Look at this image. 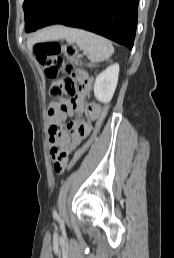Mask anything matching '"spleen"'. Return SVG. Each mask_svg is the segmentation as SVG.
<instances>
[{"label": "spleen", "instance_id": "1", "mask_svg": "<svg viewBox=\"0 0 174 258\" xmlns=\"http://www.w3.org/2000/svg\"><path fill=\"white\" fill-rule=\"evenodd\" d=\"M61 37L65 38L68 43H76L80 49L88 54L89 59L93 62L106 60L114 52L111 41L82 29L62 27Z\"/></svg>", "mask_w": 174, "mask_h": 258}]
</instances>
